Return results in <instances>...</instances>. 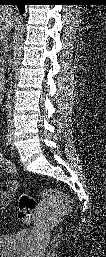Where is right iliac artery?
I'll use <instances>...</instances> for the list:
<instances>
[{
  "instance_id": "82829eb1",
  "label": "right iliac artery",
  "mask_w": 106,
  "mask_h": 257,
  "mask_svg": "<svg viewBox=\"0 0 106 257\" xmlns=\"http://www.w3.org/2000/svg\"><path fill=\"white\" fill-rule=\"evenodd\" d=\"M5 144H6V146H9L11 144V135H10V133H7L5 135Z\"/></svg>"
}]
</instances>
